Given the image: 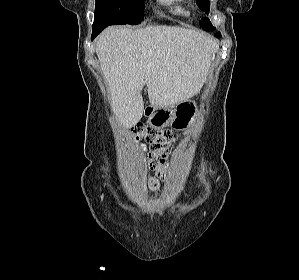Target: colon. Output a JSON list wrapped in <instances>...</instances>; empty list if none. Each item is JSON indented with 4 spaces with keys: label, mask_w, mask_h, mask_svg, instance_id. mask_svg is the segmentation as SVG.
<instances>
[{
    "label": "colon",
    "mask_w": 299,
    "mask_h": 280,
    "mask_svg": "<svg viewBox=\"0 0 299 280\" xmlns=\"http://www.w3.org/2000/svg\"><path fill=\"white\" fill-rule=\"evenodd\" d=\"M132 133L138 139L144 140L148 155L154 164L165 163L168 149L173 141V133L170 130L137 125L132 128Z\"/></svg>",
    "instance_id": "obj_1"
}]
</instances>
